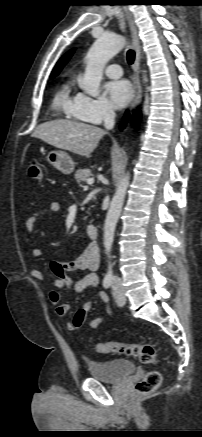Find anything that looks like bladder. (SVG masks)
Here are the masks:
<instances>
[{"label":"bladder","instance_id":"obj_1","mask_svg":"<svg viewBox=\"0 0 202 437\" xmlns=\"http://www.w3.org/2000/svg\"><path fill=\"white\" fill-rule=\"evenodd\" d=\"M92 378L107 383H117L131 375L135 364L128 359H115L110 361H90L87 364Z\"/></svg>","mask_w":202,"mask_h":437}]
</instances>
